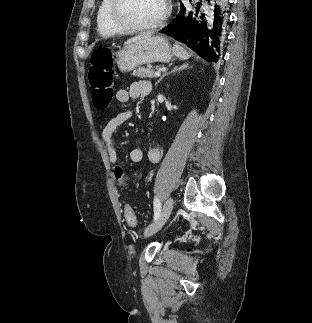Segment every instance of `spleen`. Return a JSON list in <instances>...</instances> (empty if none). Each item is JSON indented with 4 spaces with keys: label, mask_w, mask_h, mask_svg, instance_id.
<instances>
[{
    "label": "spleen",
    "mask_w": 312,
    "mask_h": 323,
    "mask_svg": "<svg viewBox=\"0 0 312 323\" xmlns=\"http://www.w3.org/2000/svg\"><path fill=\"white\" fill-rule=\"evenodd\" d=\"M173 54L176 58H179V60H189L190 58L189 52H187L185 48H182V46H178V44H174Z\"/></svg>",
    "instance_id": "1"
}]
</instances>
